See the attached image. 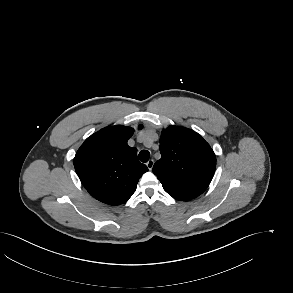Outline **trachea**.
<instances>
[{"instance_id": "obj_1", "label": "trachea", "mask_w": 293, "mask_h": 293, "mask_svg": "<svg viewBox=\"0 0 293 293\" xmlns=\"http://www.w3.org/2000/svg\"><path fill=\"white\" fill-rule=\"evenodd\" d=\"M150 153L147 150H142L139 153V159L141 162L146 163L149 160Z\"/></svg>"}]
</instances>
